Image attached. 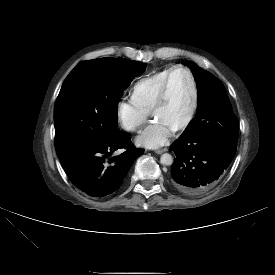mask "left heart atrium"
I'll return each instance as SVG.
<instances>
[{
  "label": "left heart atrium",
  "mask_w": 275,
  "mask_h": 275,
  "mask_svg": "<svg viewBox=\"0 0 275 275\" xmlns=\"http://www.w3.org/2000/svg\"><path fill=\"white\" fill-rule=\"evenodd\" d=\"M174 129L160 119H154L136 137V143L146 148H158L168 143Z\"/></svg>",
  "instance_id": "left-heart-atrium-1"
}]
</instances>
